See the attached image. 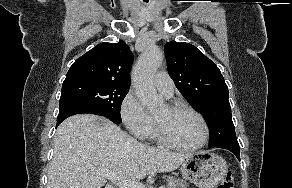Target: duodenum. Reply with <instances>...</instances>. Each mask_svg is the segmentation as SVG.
I'll list each match as a JSON object with an SVG mask.
<instances>
[{"mask_svg": "<svg viewBox=\"0 0 292 188\" xmlns=\"http://www.w3.org/2000/svg\"><path fill=\"white\" fill-rule=\"evenodd\" d=\"M105 188H113L112 186H106Z\"/></svg>", "mask_w": 292, "mask_h": 188, "instance_id": "obj_1", "label": "duodenum"}]
</instances>
